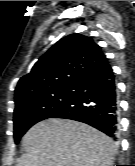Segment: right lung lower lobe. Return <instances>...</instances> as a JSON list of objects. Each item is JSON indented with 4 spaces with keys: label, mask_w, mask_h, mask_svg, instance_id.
<instances>
[{
    "label": "right lung lower lobe",
    "mask_w": 135,
    "mask_h": 166,
    "mask_svg": "<svg viewBox=\"0 0 135 166\" xmlns=\"http://www.w3.org/2000/svg\"><path fill=\"white\" fill-rule=\"evenodd\" d=\"M69 106L50 118H65L89 124L116 139L118 134L117 88L113 70L104 63L74 85Z\"/></svg>",
    "instance_id": "obj_1"
}]
</instances>
